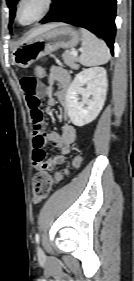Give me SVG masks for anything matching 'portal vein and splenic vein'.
I'll return each instance as SVG.
<instances>
[{
	"label": "portal vein and splenic vein",
	"mask_w": 134,
	"mask_h": 281,
	"mask_svg": "<svg viewBox=\"0 0 134 281\" xmlns=\"http://www.w3.org/2000/svg\"><path fill=\"white\" fill-rule=\"evenodd\" d=\"M71 54H72L73 56H77L78 52H77L76 50H72V51H71Z\"/></svg>",
	"instance_id": "portal-vein-and-splenic-vein-1"
}]
</instances>
